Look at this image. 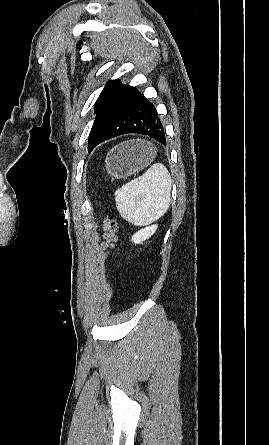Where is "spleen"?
Here are the masks:
<instances>
[{"mask_svg":"<svg viewBox=\"0 0 269 445\" xmlns=\"http://www.w3.org/2000/svg\"><path fill=\"white\" fill-rule=\"evenodd\" d=\"M171 176L161 163L115 191L117 210L137 226L148 225L166 213L171 202Z\"/></svg>","mask_w":269,"mask_h":445,"instance_id":"3e777b00","label":"spleen"}]
</instances>
